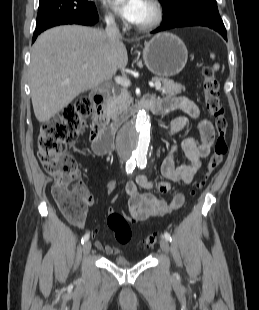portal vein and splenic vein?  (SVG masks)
<instances>
[{
  "instance_id": "portal-vein-and-splenic-vein-1",
  "label": "portal vein and splenic vein",
  "mask_w": 259,
  "mask_h": 310,
  "mask_svg": "<svg viewBox=\"0 0 259 310\" xmlns=\"http://www.w3.org/2000/svg\"><path fill=\"white\" fill-rule=\"evenodd\" d=\"M87 67V64L82 65L83 69H86ZM114 79L117 84H120L123 87H129L131 85L130 80L126 77L116 76ZM150 85L155 87L156 89L161 88V82L150 83Z\"/></svg>"
}]
</instances>
